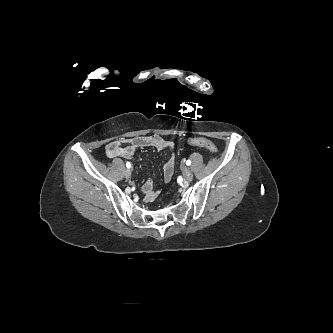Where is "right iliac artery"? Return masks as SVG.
I'll return each mask as SVG.
<instances>
[{"mask_svg":"<svg viewBox=\"0 0 333 333\" xmlns=\"http://www.w3.org/2000/svg\"><path fill=\"white\" fill-rule=\"evenodd\" d=\"M126 167H127V168H130V167H131L130 162H126Z\"/></svg>","mask_w":333,"mask_h":333,"instance_id":"82829eb1","label":"right iliac artery"}]
</instances>
